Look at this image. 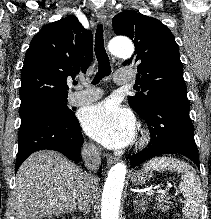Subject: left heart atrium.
Instances as JSON below:
<instances>
[{"mask_svg": "<svg viewBox=\"0 0 211 219\" xmlns=\"http://www.w3.org/2000/svg\"><path fill=\"white\" fill-rule=\"evenodd\" d=\"M82 125L89 136L108 148L128 146L135 137L132 113L110 100L88 108Z\"/></svg>", "mask_w": 211, "mask_h": 219, "instance_id": "obj_1", "label": "left heart atrium"}]
</instances>
